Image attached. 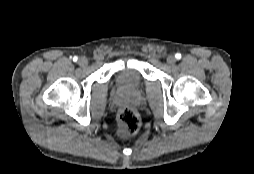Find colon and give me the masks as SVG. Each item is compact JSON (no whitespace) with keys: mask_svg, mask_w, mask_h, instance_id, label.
Listing matches in <instances>:
<instances>
[{"mask_svg":"<svg viewBox=\"0 0 254 174\" xmlns=\"http://www.w3.org/2000/svg\"><path fill=\"white\" fill-rule=\"evenodd\" d=\"M141 127L139 115L129 107L120 110L118 115V135L129 137L135 135Z\"/></svg>","mask_w":254,"mask_h":174,"instance_id":"obj_1","label":"colon"}]
</instances>
